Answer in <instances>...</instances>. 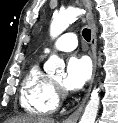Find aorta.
<instances>
[{"label": "aorta", "instance_id": "aorta-1", "mask_svg": "<svg viewBox=\"0 0 118 123\" xmlns=\"http://www.w3.org/2000/svg\"><path fill=\"white\" fill-rule=\"evenodd\" d=\"M84 12L85 11L83 9L69 7L65 11L55 14L50 25L51 37L54 39L59 36L78 18V16L82 15ZM63 68L64 62L55 54L51 55L44 65V70L47 73H52L56 70V73L60 74L63 71ZM99 104V88H94L79 123H94L98 113Z\"/></svg>", "mask_w": 118, "mask_h": 123}]
</instances>
